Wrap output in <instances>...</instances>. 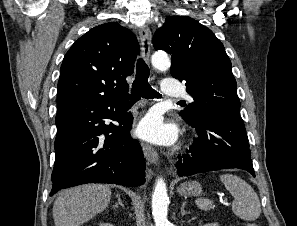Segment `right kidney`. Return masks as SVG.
<instances>
[{
	"instance_id": "1",
	"label": "right kidney",
	"mask_w": 297,
	"mask_h": 226,
	"mask_svg": "<svg viewBox=\"0 0 297 226\" xmlns=\"http://www.w3.org/2000/svg\"><path fill=\"white\" fill-rule=\"evenodd\" d=\"M100 226H113V225L108 224V223H103V224H100Z\"/></svg>"
}]
</instances>
